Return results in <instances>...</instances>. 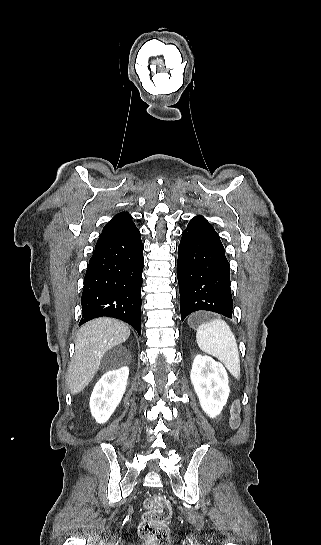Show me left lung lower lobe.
Here are the masks:
<instances>
[{
  "instance_id": "0a47b994",
  "label": "left lung lower lobe",
  "mask_w": 321,
  "mask_h": 545,
  "mask_svg": "<svg viewBox=\"0 0 321 545\" xmlns=\"http://www.w3.org/2000/svg\"><path fill=\"white\" fill-rule=\"evenodd\" d=\"M178 254L182 321L198 310L232 318L230 266L218 234L202 216L182 232Z\"/></svg>"
}]
</instances>
